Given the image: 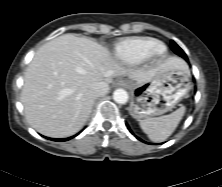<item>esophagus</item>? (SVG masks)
Instances as JSON below:
<instances>
[{
	"label": "esophagus",
	"mask_w": 222,
	"mask_h": 187,
	"mask_svg": "<svg viewBox=\"0 0 222 187\" xmlns=\"http://www.w3.org/2000/svg\"><path fill=\"white\" fill-rule=\"evenodd\" d=\"M116 86H120V87H128L129 83L126 80H120L116 83Z\"/></svg>",
	"instance_id": "1"
}]
</instances>
